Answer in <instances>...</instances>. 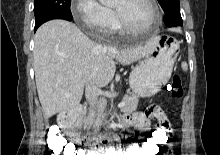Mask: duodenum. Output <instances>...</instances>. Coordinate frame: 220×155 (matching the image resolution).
Returning <instances> with one entry per match:
<instances>
[{
	"label": "duodenum",
	"mask_w": 220,
	"mask_h": 155,
	"mask_svg": "<svg viewBox=\"0 0 220 155\" xmlns=\"http://www.w3.org/2000/svg\"><path fill=\"white\" fill-rule=\"evenodd\" d=\"M82 113L81 106L72 107L61 113L59 123L65 134L74 142L80 143L84 147L86 155H103L106 149L100 148L95 144L96 140H103L101 135L87 137L79 133L75 128V121Z\"/></svg>",
	"instance_id": "obj_1"
}]
</instances>
